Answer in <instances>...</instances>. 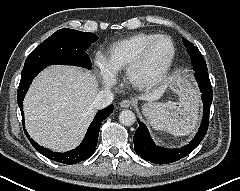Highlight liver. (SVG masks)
I'll list each match as a JSON object with an SVG mask.
<instances>
[{"label":"liver","mask_w":240,"mask_h":191,"mask_svg":"<svg viewBox=\"0 0 240 191\" xmlns=\"http://www.w3.org/2000/svg\"><path fill=\"white\" fill-rule=\"evenodd\" d=\"M98 82L92 73L74 66H52L33 81L25 99V125L41 146L64 152L83 139L95 115L92 102ZM163 91L142 96L157 100Z\"/></svg>","instance_id":"liver-1"}]
</instances>
